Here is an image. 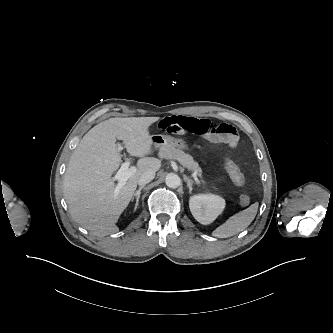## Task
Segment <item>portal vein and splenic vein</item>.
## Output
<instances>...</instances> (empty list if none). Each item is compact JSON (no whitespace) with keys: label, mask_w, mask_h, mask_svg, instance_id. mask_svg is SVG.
<instances>
[{"label":"portal vein and splenic vein","mask_w":333,"mask_h":333,"mask_svg":"<svg viewBox=\"0 0 333 333\" xmlns=\"http://www.w3.org/2000/svg\"><path fill=\"white\" fill-rule=\"evenodd\" d=\"M118 149L121 151L123 149V146L120 144L118 145ZM136 172V167H130V162L126 161L124 162L116 175L113 177L114 180L118 181V184L116 186V191H119L121 187L125 185L127 180ZM193 178L198 181V178L196 174H193Z\"/></svg>","instance_id":"obj_1"}]
</instances>
